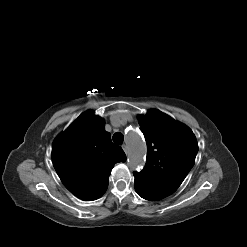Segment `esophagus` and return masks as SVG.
<instances>
[{"mask_svg": "<svg viewBox=\"0 0 247 247\" xmlns=\"http://www.w3.org/2000/svg\"><path fill=\"white\" fill-rule=\"evenodd\" d=\"M122 148H123V150H124V152H125V154L127 155L128 154V146L127 145H122Z\"/></svg>", "mask_w": 247, "mask_h": 247, "instance_id": "1", "label": "esophagus"}]
</instances>
